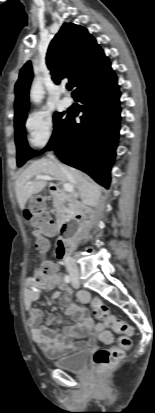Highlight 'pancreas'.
<instances>
[{
  "label": "pancreas",
  "mask_w": 155,
  "mask_h": 413,
  "mask_svg": "<svg viewBox=\"0 0 155 413\" xmlns=\"http://www.w3.org/2000/svg\"><path fill=\"white\" fill-rule=\"evenodd\" d=\"M52 197L57 222H61L63 218L71 215V209L66 206L64 201L62 200L61 192L52 194Z\"/></svg>",
  "instance_id": "pancreas-1"
}]
</instances>
